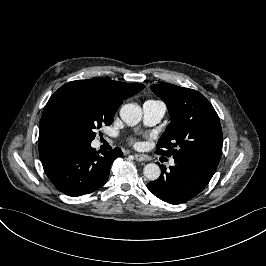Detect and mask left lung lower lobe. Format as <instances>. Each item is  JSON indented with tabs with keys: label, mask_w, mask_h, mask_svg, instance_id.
<instances>
[{
	"label": "left lung lower lobe",
	"mask_w": 266,
	"mask_h": 266,
	"mask_svg": "<svg viewBox=\"0 0 266 266\" xmlns=\"http://www.w3.org/2000/svg\"><path fill=\"white\" fill-rule=\"evenodd\" d=\"M175 166L147 184L148 189L159 199L170 204H180L198 195L209 183L217 165L206 160L180 156L174 157Z\"/></svg>",
	"instance_id": "left-lung-lower-lobe-1"
}]
</instances>
